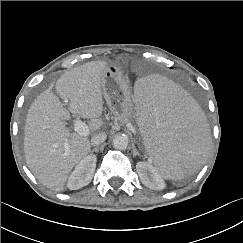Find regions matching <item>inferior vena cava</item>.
<instances>
[{
	"label": "inferior vena cava",
	"mask_w": 243,
	"mask_h": 243,
	"mask_svg": "<svg viewBox=\"0 0 243 243\" xmlns=\"http://www.w3.org/2000/svg\"><path fill=\"white\" fill-rule=\"evenodd\" d=\"M107 138V135L105 133H99V134H96L94 135L92 138H91V144L93 146H98L100 145L102 142H104Z\"/></svg>",
	"instance_id": "obj_1"
}]
</instances>
